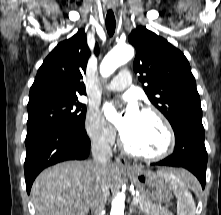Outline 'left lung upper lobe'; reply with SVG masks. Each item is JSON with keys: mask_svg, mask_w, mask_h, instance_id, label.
Returning a JSON list of instances; mask_svg holds the SVG:
<instances>
[{"mask_svg": "<svg viewBox=\"0 0 221 215\" xmlns=\"http://www.w3.org/2000/svg\"><path fill=\"white\" fill-rule=\"evenodd\" d=\"M136 48L133 69L152 104L174 128L181 118L202 120L195 78L184 54L166 39L138 27L128 37Z\"/></svg>", "mask_w": 221, "mask_h": 215, "instance_id": "obj_1", "label": "left lung upper lobe"}]
</instances>
